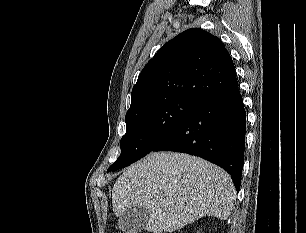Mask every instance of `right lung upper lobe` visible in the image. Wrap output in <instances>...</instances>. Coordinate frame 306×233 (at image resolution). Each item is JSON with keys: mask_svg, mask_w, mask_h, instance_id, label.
Returning <instances> with one entry per match:
<instances>
[{"mask_svg": "<svg viewBox=\"0 0 306 233\" xmlns=\"http://www.w3.org/2000/svg\"><path fill=\"white\" fill-rule=\"evenodd\" d=\"M238 84L230 54L218 37L200 28L168 41L141 71L129 111L181 97L198 104Z\"/></svg>", "mask_w": 306, "mask_h": 233, "instance_id": "cb5924a9", "label": "right lung upper lobe"}]
</instances>
